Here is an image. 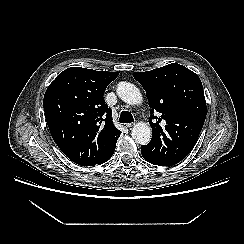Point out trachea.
Here are the masks:
<instances>
[{
    "label": "trachea",
    "mask_w": 244,
    "mask_h": 244,
    "mask_svg": "<svg viewBox=\"0 0 244 244\" xmlns=\"http://www.w3.org/2000/svg\"><path fill=\"white\" fill-rule=\"evenodd\" d=\"M119 122L120 123H132V122H134V118H133V116H132V114L130 112L123 111L120 114Z\"/></svg>",
    "instance_id": "3493384b"
}]
</instances>
